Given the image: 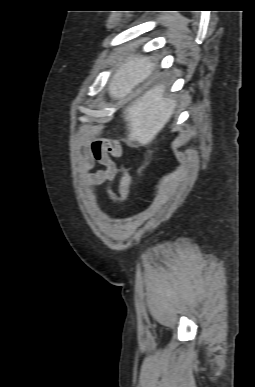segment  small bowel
I'll return each instance as SVG.
<instances>
[{
	"mask_svg": "<svg viewBox=\"0 0 255 387\" xmlns=\"http://www.w3.org/2000/svg\"><path fill=\"white\" fill-rule=\"evenodd\" d=\"M80 147L82 151L80 169L87 186L95 187L116 177L119 168L113 159L121 157L123 153V146L119 141L108 139L90 141L85 137H80ZM98 164L102 168L97 169ZM131 183L130 171L123 168L118 194L111 187L106 188V194L112 201L124 203L128 200Z\"/></svg>",
	"mask_w": 255,
	"mask_h": 387,
	"instance_id": "c3829d8e",
	"label": "small bowel"
}]
</instances>
